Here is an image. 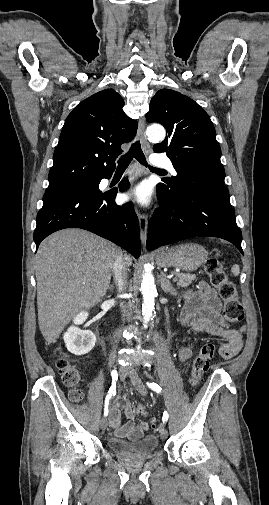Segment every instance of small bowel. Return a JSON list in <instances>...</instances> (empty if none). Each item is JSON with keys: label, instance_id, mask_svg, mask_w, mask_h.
Wrapping results in <instances>:
<instances>
[{"label": "small bowel", "instance_id": "obj_1", "mask_svg": "<svg viewBox=\"0 0 269 505\" xmlns=\"http://www.w3.org/2000/svg\"><path fill=\"white\" fill-rule=\"evenodd\" d=\"M220 301L214 290L206 281H201L195 291L189 292L181 311L180 319L184 326L190 327L195 333L209 334L226 340L220 348V355L224 359L236 356L243 345V330H226L220 315ZM194 351V344L184 346L179 352V360H188ZM123 406L127 423H123L119 404L111 408L110 425L116 437H126L131 440L140 438L148 428V423L136 424L134 410L127 399Z\"/></svg>", "mask_w": 269, "mask_h": 505}]
</instances>
